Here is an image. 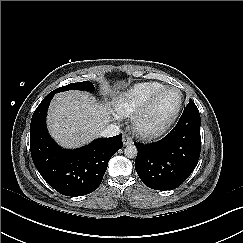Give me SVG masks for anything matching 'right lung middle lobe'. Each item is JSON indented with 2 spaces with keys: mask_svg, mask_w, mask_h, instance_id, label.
<instances>
[{
  "mask_svg": "<svg viewBox=\"0 0 243 243\" xmlns=\"http://www.w3.org/2000/svg\"><path fill=\"white\" fill-rule=\"evenodd\" d=\"M95 87L93 86L92 82L89 81H83L78 83H71L66 86L57 88L53 90L52 92L58 93L66 90H86V91H94Z\"/></svg>",
  "mask_w": 243,
  "mask_h": 243,
  "instance_id": "1",
  "label": "right lung middle lobe"
}]
</instances>
